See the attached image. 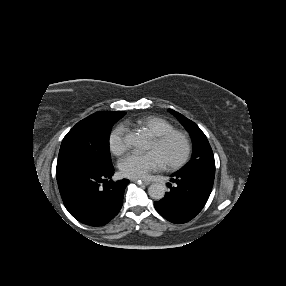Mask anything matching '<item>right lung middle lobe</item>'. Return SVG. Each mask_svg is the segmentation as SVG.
Returning <instances> with one entry per match:
<instances>
[{
	"instance_id": "right-lung-middle-lobe-1",
	"label": "right lung middle lobe",
	"mask_w": 286,
	"mask_h": 286,
	"mask_svg": "<svg viewBox=\"0 0 286 286\" xmlns=\"http://www.w3.org/2000/svg\"><path fill=\"white\" fill-rule=\"evenodd\" d=\"M125 112L87 117L64 137L57 161V171L76 165H111L109 137L112 126Z\"/></svg>"
}]
</instances>
